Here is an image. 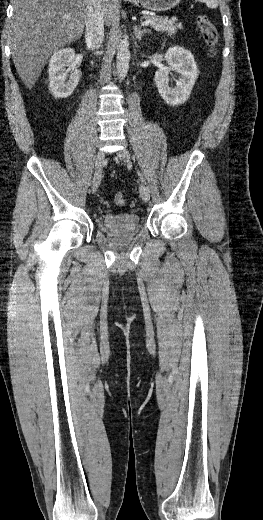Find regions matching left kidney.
<instances>
[{"instance_id":"obj_1","label":"left kidney","mask_w":263,"mask_h":520,"mask_svg":"<svg viewBox=\"0 0 263 520\" xmlns=\"http://www.w3.org/2000/svg\"><path fill=\"white\" fill-rule=\"evenodd\" d=\"M168 68H160L155 73V83L163 100L177 106L187 101L198 77V68L190 51L182 47H171L165 54ZM170 70L179 74L176 86H169Z\"/></svg>"}]
</instances>
